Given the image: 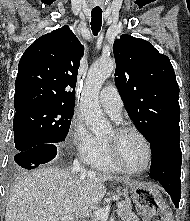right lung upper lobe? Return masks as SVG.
Instances as JSON below:
<instances>
[{"label":"right lung upper lobe","instance_id":"cb5924a9","mask_svg":"<svg viewBox=\"0 0 190 221\" xmlns=\"http://www.w3.org/2000/svg\"><path fill=\"white\" fill-rule=\"evenodd\" d=\"M84 47L63 26L39 37L22 55L15 81L14 107L20 112L39 105L74 107L78 68Z\"/></svg>","mask_w":190,"mask_h":221}]
</instances>
